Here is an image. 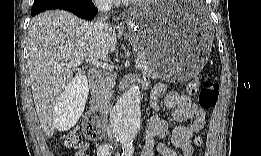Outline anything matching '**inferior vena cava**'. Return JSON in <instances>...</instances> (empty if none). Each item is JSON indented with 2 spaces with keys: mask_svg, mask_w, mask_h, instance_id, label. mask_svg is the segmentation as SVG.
<instances>
[{
  "mask_svg": "<svg viewBox=\"0 0 261 156\" xmlns=\"http://www.w3.org/2000/svg\"><path fill=\"white\" fill-rule=\"evenodd\" d=\"M95 5L100 12V16L95 20V22L92 23L91 32L94 38L99 43L102 58L105 59L108 56V52L106 51L104 46V40L107 37V32L109 29V25L107 23V13L111 10L112 3L110 0H100L96 1ZM108 136L110 139H112V133L110 131H108Z\"/></svg>",
  "mask_w": 261,
  "mask_h": 156,
  "instance_id": "602c4592",
  "label": "inferior vena cava"
}]
</instances>
